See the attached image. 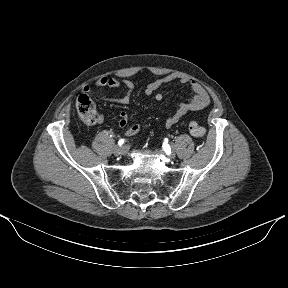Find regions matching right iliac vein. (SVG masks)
<instances>
[{"mask_svg": "<svg viewBox=\"0 0 288 288\" xmlns=\"http://www.w3.org/2000/svg\"><path fill=\"white\" fill-rule=\"evenodd\" d=\"M114 155L118 156L124 153V147L121 146H114L113 148Z\"/></svg>", "mask_w": 288, "mask_h": 288, "instance_id": "63e3f726", "label": "right iliac vein"}]
</instances>
